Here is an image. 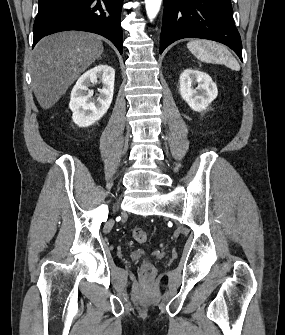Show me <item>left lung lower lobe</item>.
<instances>
[{
    "label": "left lung lower lobe",
    "instance_id": "1",
    "mask_svg": "<svg viewBox=\"0 0 285 335\" xmlns=\"http://www.w3.org/2000/svg\"><path fill=\"white\" fill-rule=\"evenodd\" d=\"M189 37L223 43L242 60L230 0H164L160 54L174 41Z\"/></svg>",
    "mask_w": 285,
    "mask_h": 335
}]
</instances>
